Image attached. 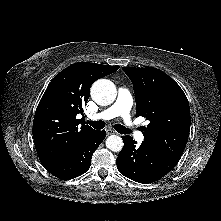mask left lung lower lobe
Returning <instances> with one entry per match:
<instances>
[{"label": "left lung lower lobe", "instance_id": "1", "mask_svg": "<svg viewBox=\"0 0 221 221\" xmlns=\"http://www.w3.org/2000/svg\"><path fill=\"white\" fill-rule=\"evenodd\" d=\"M124 147L118 154L117 168L125 177L142 184L155 182L167 174L178 161L160 151L137 142L131 136H122Z\"/></svg>", "mask_w": 221, "mask_h": 221}]
</instances>
